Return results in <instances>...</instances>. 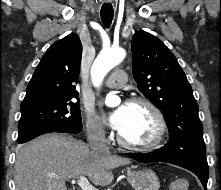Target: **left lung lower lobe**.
I'll use <instances>...</instances> for the list:
<instances>
[{
	"label": "left lung lower lobe",
	"instance_id": "left-lung-lower-lobe-1",
	"mask_svg": "<svg viewBox=\"0 0 221 190\" xmlns=\"http://www.w3.org/2000/svg\"><path fill=\"white\" fill-rule=\"evenodd\" d=\"M128 156L142 163L167 162L193 172L207 190L209 168L206 152L175 150L168 141L164 147L149 153H128Z\"/></svg>",
	"mask_w": 221,
	"mask_h": 190
}]
</instances>
